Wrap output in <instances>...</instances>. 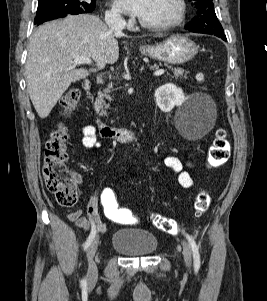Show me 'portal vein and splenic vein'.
I'll return each mask as SVG.
<instances>
[{"label": "portal vein and splenic vein", "instance_id": "1", "mask_svg": "<svg viewBox=\"0 0 267 301\" xmlns=\"http://www.w3.org/2000/svg\"><path fill=\"white\" fill-rule=\"evenodd\" d=\"M73 57H74V61H73L74 64H91L92 63L91 59L88 57H85V56L74 55ZM164 73H165L164 69H158L153 73V75L160 76Z\"/></svg>", "mask_w": 267, "mask_h": 301}]
</instances>
